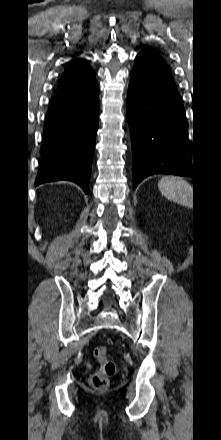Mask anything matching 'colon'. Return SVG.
I'll use <instances>...</instances> for the list:
<instances>
[{"mask_svg":"<svg viewBox=\"0 0 221 440\" xmlns=\"http://www.w3.org/2000/svg\"><path fill=\"white\" fill-rule=\"evenodd\" d=\"M93 354L100 366L91 375L89 382L94 389L104 390L109 386L110 377L116 373V364L110 359L109 349L106 346L95 347Z\"/></svg>","mask_w":221,"mask_h":440,"instance_id":"colon-1","label":"colon"}]
</instances>
